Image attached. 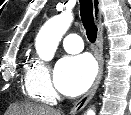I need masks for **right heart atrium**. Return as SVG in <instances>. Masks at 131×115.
<instances>
[{
    "mask_svg": "<svg viewBox=\"0 0 131 115\" xmlns=\"http://www.w3.org/2000/svg\"><path fill=\"white\" fill-rule=\"evenodd\" d=\"M25 87L28 94L44 103H52L57 93L52 85L48 66L41 60L31 62L25 76Z\"/></svg>",
    "mask_w": 131,
    "mask_h": 115,
    "instance_id": "d8ad5b80",
    "label": "right heart atrium"
}]
</instances>
